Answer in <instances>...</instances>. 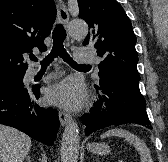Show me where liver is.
<instances>
[{
    "mask_svg": "<svg viewBox=\"0 0 168 162\" xmlns=\"http://www.w3.org/2000/svg\"><path fill=\"white\" fill-rule=\"evenodd\" d=\"M30 149V137L0 124V162H23Z\"/></svg>",
    "mask_w": 168,
    "mask_h": 162,
    "instance_id": "1",
    "label": "liver"
}]
</instances>
